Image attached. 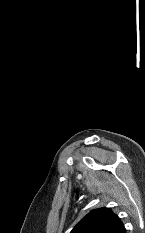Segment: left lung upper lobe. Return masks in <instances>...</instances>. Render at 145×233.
Returning <instances> with one entry per match:
<instances>
[{
  "label": "left lung upper lobe",
  "instance_id": "left-lung-upper-lobe-1",
  "mask_svg": "<svg viewBox=\"0 0 145 233\" xmlns=\"http://www.w3.org/2000/svg\"><path fill=\"white\" fill-rule=\"evenodd\" d=\"M71 233H126V229L120 218L104 207L89 212Z\"/></svg>",
  "mask_w": 145,
  "mask_h": 233
}]
</instances>
